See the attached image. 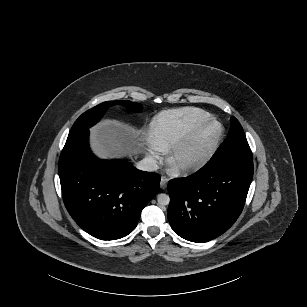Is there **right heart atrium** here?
Here are the masks:
<instances>
[{
	"label": "right heart atrium",
	"instance_id": "obj_1",
	"mask_svg": "<svg viewBox=\"0 0 307 307\" xmlns=\"http://www.w3.org/2000/svg\"><path fill=\"white\" fill-rule=\"evenodd\" d=\"M146 160L149 165H156L158 162L162 160L161 151L155 147L154 145H148L146 147Z\"/></svg>",
	"mask_w": 307,
	"mask_h": 307
}]
</instances>
